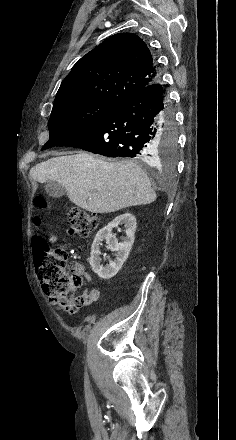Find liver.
I'll list each match as a JSON object with an SVG mask.
<instances>
[{
	"label": "liver",
	"instance_id": "1",
	"mask_svg": "<svg viewBox=\"0 0 236 440\" xmlns=\"http://www.w3.org/2000/svg\"><path fill=\"white\" fill-rule=\"evenodd\" d=\"M39 183L58 182L69 200L91 213L146 205L156 193L146 173L130 161L107 162L80 152L48 159L30 170Z\"/></svg>",
	"mask_w": 236,
	"mask_h": 440
}]
</instances>
